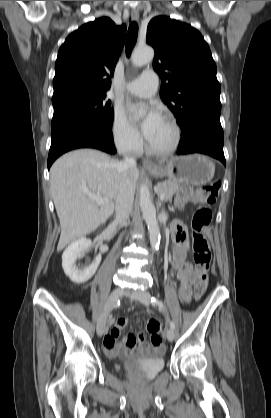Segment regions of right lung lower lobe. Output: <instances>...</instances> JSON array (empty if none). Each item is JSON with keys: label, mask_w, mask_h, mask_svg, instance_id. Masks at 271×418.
Instances as JSON below:
<instances>
[{"label": "right lung lower lobe", "mask_w": 271, "mask_h": 418, "mask_svg": "<svg viewBox=\"0 0 271 418\" xmlns=\"http://www.w3.org/2000/svg\"><path fill=\"white\" fill-rule=\"evenodd\" d=\"M51 147L48 169L63 153L78 148H95L107 153H116L111 126L103 122H85L62 127L51 132Z\"/></svg>", "instance_id": "1"}]
</instances>
